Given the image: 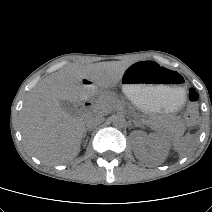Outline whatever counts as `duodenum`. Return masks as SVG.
Wrapping results in <instances>:
<instances>
[{
  "label": "duodenum",
  "mask_w": 212,
  "mask_h": 212,
  "mask_svg": "<svg viewBox=\"0 0 212 212\" xmlns=\"http://www.w3.org/2000/svg\"><path fill=\"white\" fill-rule=\"evenodd\" d=\"M90 85H85V89L86 90H90ZM93 108V103L89 100V99H84L83 102H82V109L85 111V112H90Z\"/></svg>",
  "instance_id": "obj_1"
}]
</instances>
